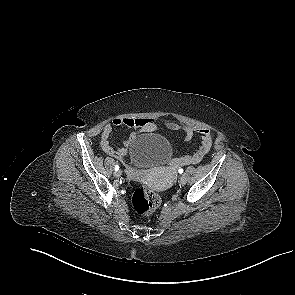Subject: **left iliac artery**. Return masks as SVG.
Returning a JSON list of instances; mask_svg holds the SVG:
<instances>
[{"instance_id":"left-iliac-artery-1","label":"left iliac artery","mask_w":295,"mask_h":295,"mask_svg":"<svg viewBox=\"0 0 295 295\" xmlns=\"http://www.w3.org/2000/svg\"><path fill=\"white\" fill-rule=\"evenodd\" d=\"M183 169L182 168H180L179 170H178V172L181 174V173H183Z\"/></svg>"}]
</instances>
